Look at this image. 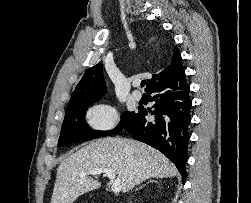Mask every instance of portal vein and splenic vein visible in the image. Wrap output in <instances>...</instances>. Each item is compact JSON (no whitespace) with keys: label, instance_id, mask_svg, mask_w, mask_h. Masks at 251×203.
<instances>
[{"label":"portal vein and splenic vein","instance_id":"1","mask_svg":"<svg viewBox=\"0 0 251 203\" xmlns=\"http://www.w3.org/2000/svg\"><path fill=\"white\" fill-rule=\"evenodd\" d=\"M101 173H104L110 179L112 192L118 193L121 190V183L118 179H116V174L112 169L96 168L89 171L88 173L82 174L81 177H86L87 175H97Z\"/></svg>","mask_w":251,"mask_h":203}]
</instances>
